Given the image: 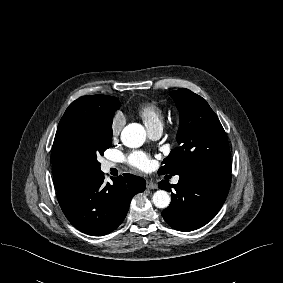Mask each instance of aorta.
<instances>
[{
    "mask_svg": "<svg viewBox=\"0 0 283 283\" xmlns=\"http://www.w3.org/2000/svg\"><path fill=\"white\" fill-rule=\"evenodd\" d=\"M146 139L144 127L138 123L127 125L121 132L123 144L130 148H138L143 145ZM171 198L165 190H158L153 194L152 202L157 208H167Z\"/></svg>",
    "mask_w": 283,
    "mask_h": 283,
    "instance_id": "aorta-1",
    "label": "aorta"
}]
</instances>
